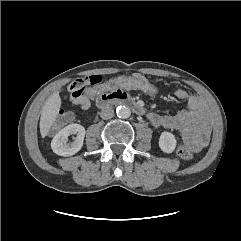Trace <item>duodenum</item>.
<instances>
[{
	"instance_id": "410a0bca",
	"label": "duodenum",
	"mask_w": 241,
	"mask_h": 241,
	"mask_svg": "<svg viewBox=\"0 0 241 241\" xmlns=\"http://www.w3.org/2000/svg\"><path fill=\"white\" fill-rule=\"evenodd\" d=\"M97 106L99 108H107L111 105H125L131 108L137 114H143L144 110L133 98L127 93L122 91H113L109 93H103L97 98Z\"/></svg>"
}]
</instances>
